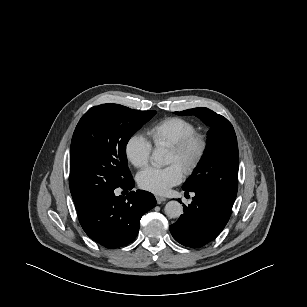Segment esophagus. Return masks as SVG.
Listing matches in <instances>:
<instances>
[{
    "label": "esophagus",
    "mask_w": 307,
    "mask_h": 307,
    "mask_svg": "<svg viewBox=\"0 0 307 307\" xmlns=\"http://www.w3.org/2000/svg\"><path fill=\"white\" fill-rule=\"evenodd\" d=\"M155 198L158 204H161L166 201V198L163 196L156 195Z\"/></svg>",
    "instance_id": "34e87169"
}]
</instances>
